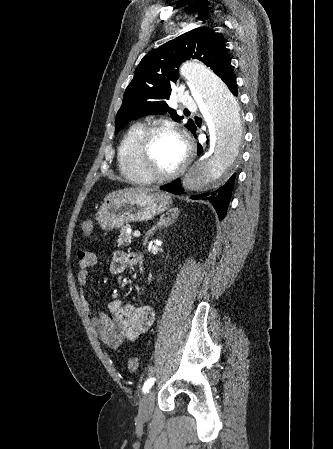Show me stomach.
I'll list each match as a JSON object with an SVG mask.
<instances>
[{
  "instance_id": "stomach-1",
  "label": "stomach",
  "mask_w": 333,
  "mask_h": 449,
  "mask_svg": "<svg viewBox=\"0 0 333 449\" xmlns=\"http://www.w3.org/2000/svg\"><path fill=\"white\" fill-rule=\"evenodd\" d=\"M171 204L169 195L160 192H131L105 200L96 214L103 230L122 228L130 222L147 221L163 213Z\"/></svg>"
}]
</instances>
